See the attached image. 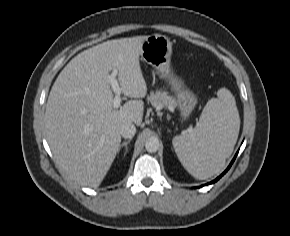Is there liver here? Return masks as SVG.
Here are the masks:
<instances>
[{"label":"liver","mask_w":290,"mask_h":236,"mask_svg":"<svg viewBox=\"0 0 290 236\" xmlns=\"http://www.w3.org/2000/svg\"><path fill=\"white\" fill-rule=\"evenodd\" d=\"M148 36L108 40L75 56L55 80L45 111L50 149L60 170L81 185L98 187L121 143L120 128L140 126L147 85L140 67L142 43ZM117 71L129 100L113 107L108 77Z\"/></svg>","instance_id":"obj_1"}]
</instances>
